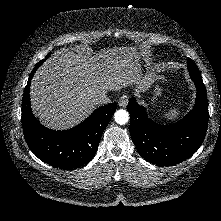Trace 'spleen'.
I'll return each mask as SVG.
<instances>
[{"label": "spleen", "instance_id": "3e777b00", "mask_svg": "<svg viewBox=\"0 0 221 221\" xmlns=\"http://www.w3.org/2000/svg\"><path fill=\"white\" fill-rule=\"evenodd\" d=\"M178 114H179V110L174 108L164 113V118H166L169 121H174L178 118Z\"/></svg>", "mask_w": 221, "mask_h": 221}]
</instances>
